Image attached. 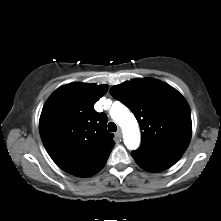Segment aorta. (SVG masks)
<instances>
[{
    "instance_id": "1",
    "label": "aorta",
    "mask_w": 221,
    "mask_h": 221,
    "mask_svg": "<svg viewBox=\"0 0 221 221\" xmlns=\"http://www.w3.org/2000/svg\"><path fill=\"white\" fill-rule=\"evenodd\" d=\"M111 117L122 128L124 143L129 150H135L140 144V132L136 118L126 106L117 103L110 110Z\"/></svg>"
}]
</instances>
